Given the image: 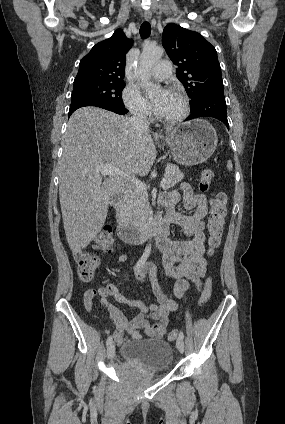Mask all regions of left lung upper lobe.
<instances>
[{
	"instance_id": "obj_1",
	"label": "left lung upper lobe",
	"mask_w": 285,
	"mask_h": 424,
	"mask_svg": "<svg viewBox=\"0 0 285 424\" xmlns=\"http://www.w3.org/2000/svg\"><path fill=\"white\" fill-rule=\"evenodd\" d=\"M162 44L191 105L206 93L224 90L217 52L201 34L171 23L163 30Z\"/></svg>"
}]
</instances>
